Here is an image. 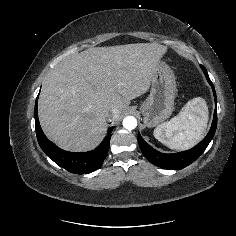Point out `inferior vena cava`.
<instances>
[{"instance_id": "602c4592", "label": "inferior vena cava", "mask_w": 236, "mask_h": 236, "mask_svg": "<svg viewBox=\"0 0 236 236\" xmlns=\"http://www.w3.org/2000/svg\"><path fill=\"white\" fill-rule=\"evenodd\" d=\"M117 112H118L117 109H113V110L109 113V115H108V119L110 120V119L115 118L116 115H117Z\"/></svg>"}]
</instances>
